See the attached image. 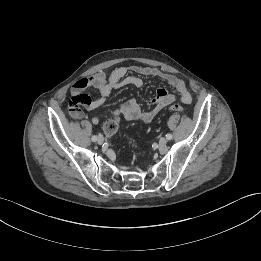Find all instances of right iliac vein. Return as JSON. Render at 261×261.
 Masks as SVG:
<instances>
[{"mask_svg": "<svg viewBox=\"0 0 261 261\" xmlns=\"http://www.w3.org/2000/svg\"><path fill=\"white\" fill-rule=\"evenodd\" d=\"M103 142H104L103 136H102V135H99V136L97 137V143L101 145V144H103Z\"/></svg>", "mask_w": 261, "mask_h": 261, "instance_id": "obj_1", "label": "right iliac vein"}]
</instances>
